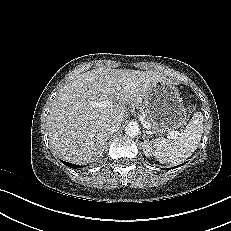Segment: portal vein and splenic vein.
<instances>
[{"instance_id":"portal-vein-and-splenic-vein-1","label":"portal vein and splenic vein","mask_w":231,"mask_h":231,"mask_svg":"<svg viewBox=\"0 0 231 231\" xmlns=\"http://www.w3.org/2000/svg\"><path fill=\"white\" fill-rule=\"evenodd\" d=\"M91 105L93 107H98V108H106L112 105V103L110 101H93L91 102ZM140 121L143 124V126H146V123L144 121L143 117H140ZM171 135H177V132H171Z\"/></svg>"}]
</instances>
